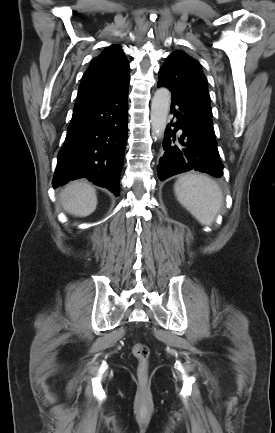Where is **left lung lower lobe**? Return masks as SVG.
Instances as JSON below:
<instances>
[{
  "label": "left lung lower lobe",
  "instance_id": "0a47b994",
  "mask_svg": "<svg viewBox=\"0 0 275 433\" xmlns=\"http://www.w3.org/2000/svg\"><path fill=\"white\" fill-rule=\"evenodd\" d=\"M158 86L168 87L161 81H158ZM171 94L170 113L174 114V120L165 130L164 154L157 166L158 178L163 181L190 170L222 177L224 166L220 160L213 126L204 122L182 95L173 90ZM179 129H182V135L176 133Z\"/></svg>",
  "mask_w": 275,
  "mask_h": 433
}]
</instances>
